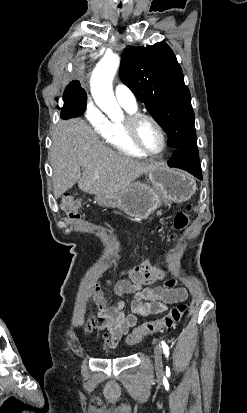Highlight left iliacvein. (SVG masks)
Listing matches in <instances>:
<instances>
[{"label": "left iliac vein", "instance_id": "4c4485c4", "mask_svg": "<svg viewBox=\"0 0 247 413\" xmlns=\"http://www.w3.org/2000/svg\"><path fill=\"white\" fill-rule=\"evenodd\" d=\"M162 349L160 345H154V360H155V368L159 375L163 373V359H162Z\"/></svg>", "mask_w": 247, "mask_h": 413}]
</instances>
